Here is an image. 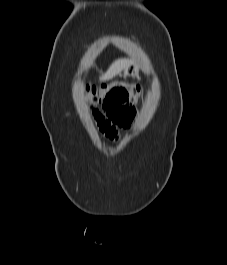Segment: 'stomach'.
<instances>
[{"label":"stomach","mask_w":227,"mask_h":265,"mask_svg":"<svg viewBox=\"0 0 227 265\" xmlns=\"http://www.w3.org/2000/svg\"><path fill=\"white\" fill-rule=\"evenodd\" d=\"M139 70H140V67L138 64L136 63H133V64H130L124 71H123V75L125 77H135L139 74Z\"/></svg>","instance_id":"0dacf381"}]
</instances>
